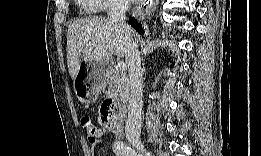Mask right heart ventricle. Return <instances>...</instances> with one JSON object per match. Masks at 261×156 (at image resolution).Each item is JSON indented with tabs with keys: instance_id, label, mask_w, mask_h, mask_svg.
Listing matches in <instances>:
<instances>
[{
	"instance_id": "obj_1",
	"label": "right heart ventricle",
	"mask_w": 261,
	"mask_h": 156,
	"mask_svg": "<svg viewBox=\"0 0 261 156\" xmlns=\"http://www.w3.org/2000/svg\"><path fill=\"white\" fill-rule=\"evenodd\" d=\"M80 4L92 9L93 1L92 0H83V1H80Z\"/></svg>"
}]
</instances>
